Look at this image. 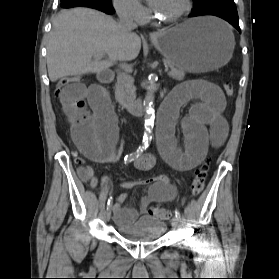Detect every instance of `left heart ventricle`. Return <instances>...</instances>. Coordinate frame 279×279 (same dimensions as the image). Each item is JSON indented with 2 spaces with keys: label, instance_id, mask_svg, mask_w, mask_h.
I'll use <instances>...</instances> for the list:
<instances>
[{
  "label": "left heart ventricle",
  "instance_id": "obj_1",
  "mask_svg": "<svg viewBox=\"0 0 279 279\" xmlns=\"http://www.w3.org/2000/svg\"><path fill=\"white\" fill-rule=\"evenodd\" d=\"M183 5L184 0H159L155 12L160 17H172Z\"/></svg>",
  "mask_w": 279,
  "mask_h": 279
}]
</instances>
